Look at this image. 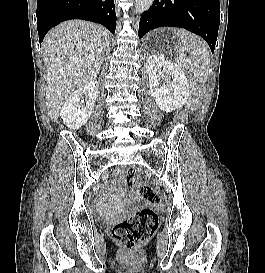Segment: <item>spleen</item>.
Instances as JSON below:
<instances>
[{
    "label": "spleen",
    "instance_id": "spleen-1",
    "mask_svg": "<svg viewBox=\"0 0 265 273\" xmlns=\"http://www.w3.org/2000/svg\"><path fill=\"white\" fill-rule=\"evenodd\" d=\"M171 31L179 41L181 53L186 51L190 54L188 61L195 80L200 84L205 83L210 63L208 45L200 37L184 29L174 28Z\"/></svg>",
    "mask_w": 265,
    "mask_h": 273
}]
</instances>
